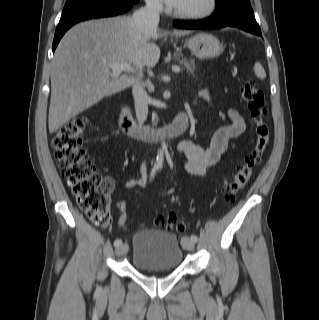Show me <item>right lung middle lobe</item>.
Segmentation results:
<instances>
[{
  "label": "right lung middle lobe",
  "mask_w": 319,
  "mask_h": 320,
  "mask_svg": "<svg viewBox=\"0 0 319 320\" xmlns=\"http://www.w3.org/2000/svg\"><path fill=\"white\" fill-rule=\"evenodd\" d=\"M104 0H67L62 15L74 12L84 6Z\"/></svg>",
  "instance_id": "right-lung-middle-lobe-1"
}]
</instances>
